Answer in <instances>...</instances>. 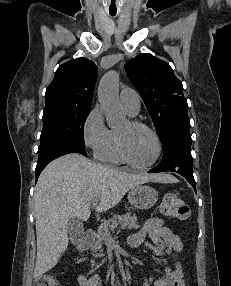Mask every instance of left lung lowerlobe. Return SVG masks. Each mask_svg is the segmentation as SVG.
Returning a JSON list of instances; mask_svg holds the SVG:
<instances>
[{"mask_svg":"<svg viewBox=\"0 0 231 286\" xmlns=\"http://www.w3.org/2000/svg\"><path fill=\"white\" fill-rule=\"evenodd\" d=\"M163 144V159L161 163L151 169L149 172H177L192 185L194 190L195 180L192 171V156H191V136L189 130H180L169 134L162 142Z\"/></svg>","mask_w":231,"mask_h":286,"instance_id":"left-lung-lower-lobe-1","label":"left lung lower lobe"}]
</instances>
